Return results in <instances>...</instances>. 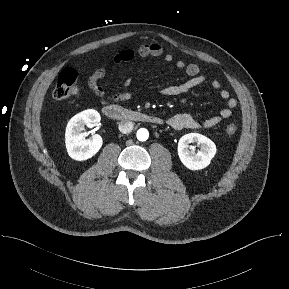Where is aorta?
<instances>
[{"instance_id": "aorta-1", "label": "aorta", "mask_w": 289, "mask_h": 289, "mask_svg": "<svg viewBox=\"0 0 289 289\" xmlns=\"http://www.w3.org/2000/svg\"><path fill=\"white\" fill-rule=\"evenodd\" d=\"M137 139L139 140V141H146L147 139H148V137H149V132H148V130L147 129H145V128H141V129H139L138 131H137Z\"/></svg>"}]
</instances>
